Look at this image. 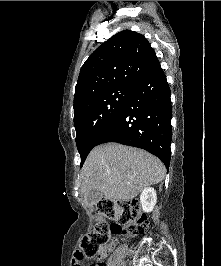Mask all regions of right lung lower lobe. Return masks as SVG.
<instances>
[{
    "mask_svg": "<svg viewBox=\"0 0 221 266\" xmlns=\"http://www.w3.org/2000/svg\"><path fill=\"white\" fill-rule=\"evenodd\" d=\"M172 106L170 88L161 67L140 80L123 109L99 136L96 146L107 142L142 148L168 167Z\"/></svg>",
    "mask_w": 221,
    "mask_h": 266,
    "instance_id": "98d812e1",
    "label": "right lung lower lobe"
}]
</instances>
